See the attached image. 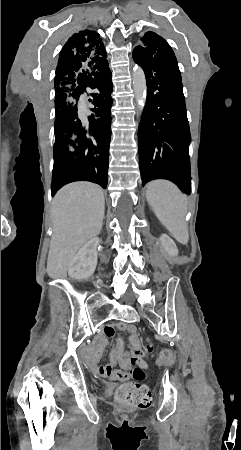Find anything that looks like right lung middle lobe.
<instances>
[{
    "mask_svg": "<svg viewBox=\"0 0 241 450\" xmlns=\"http://www.w3.org/2000/svg\"><path fill=\"white\" fill-rule=\"evenodd\" d=\"M66 103L65 102H63V101H61V100H58V101H55V113H56V117L59 115V112L61 111V110H63L65 107H66Z\"/></svg>",
    "mask_w": 241,
    "mask_h": 450,
    "instance_id": "right-lung-middle-lobe-1",
    "label": "right lung middle lobe"
}]
</instances>
